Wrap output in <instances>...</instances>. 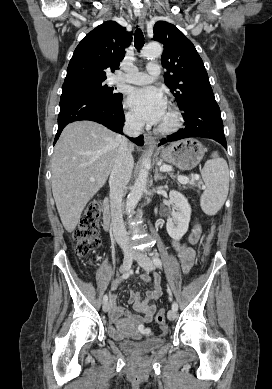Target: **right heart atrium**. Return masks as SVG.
<instances>
[{"instance_id":"d8ad5b80","label":"right heart atrium","mask_w":272,"mask_h":389,"mask_svg":"<svg viewBox=\"0 0 272 389\" xmlns=\"http://www.w3.org/2000/svg\"><path fill=\"white\" fill-rule=\"evenodd\" d=\"M126 120H127V123L129 125H131L132 127L138 128L141 126V121L139 120L137 115L133 112H128L126 114Z\"/></svg>"}]
</instances>
